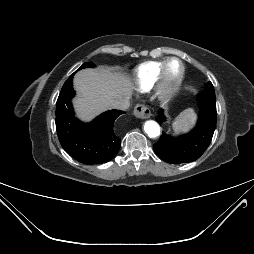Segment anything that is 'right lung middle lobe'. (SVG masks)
Here are the masks:
<instances>
[{
  "mask_svg": "<svg viewBox=\"0 0 254 254\" xmlns=\"http://www.w3.org/2000/svg\"><path fill=\"white\" fill-rule=\"evenodd\" d=\"M94 65L93 64H91V63H84L80 68H79V70L80 69H83V68H86V67H93Z\"/></svg>",
  "mask_w": 254,
  "mask_h": 254,
  "instance_id": "dd1d6c3e",
  "label": "right lung middle lobe"
}]
</instances>
